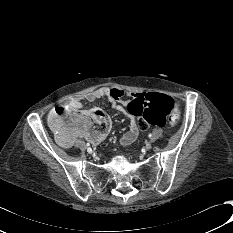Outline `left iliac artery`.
<instances>
[{
    "label": "left iliac artery",
    "mask_w": 233,
    "mask_h": 233,
    "mask_svg": "<svg viewBox=\"0 0 233 233\" xmlns=\"http://www.w3.org/2000/svg\"><path fill=\"white\" fill-rule=\"evenodd\" d=\"M148 137H149V138H152V134H149Z\"/></svg>",
    "instance_id": "44dca946"
}]
</instances>
